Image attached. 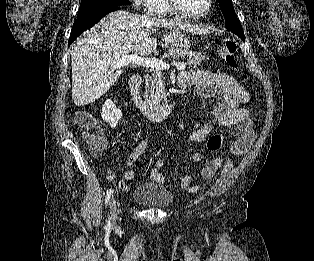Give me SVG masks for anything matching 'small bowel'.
Returning a JSON list of instances; mask_svg holds the SVG:
<instances>
[{"instance_id":"c3829d8e","label":"small bowel","mask_w":314,"mask_h":261,"mask_svg":"<svg viewBox=\"0 0 314 261\" xmlns=\"http://www.w3.org/2000/svg\"><path fill=\"white\" fill-rule=\"evenodd\" d=\"M179 83L183 88L192 89L193 95L197 98L218 102L212 120L199 127L188 129L186 134L187 142L198 144L203 142L218 127L235 126L239 130L240 136L233 146L232 152L242 155L249 150L255 138L253 123L246 108L249 95L234 76L219 69L191 70L182 72L179 75ZM149 142V138L144 137L127 157L125 180L131 181L134 179L135 173L132 167L148 147ZM192 160L200 162L202 156L198 153L193 154ZM223 161L222 158H215L204 164L200 169L201 177L205 181H211L222 166ZM164 166L165 161L157 159L154 168L150 172V177L154 182L170 189L173 187V183L161 172ZM106 175L110 180L115 179L113 167H108ZM118 187L123 192L129 191L128 185L123 179L118 181ZM181 187L192 192L197 191V188L192 186L191 178L188 175L182 177Z\"/></svg>"}]
</instances>
